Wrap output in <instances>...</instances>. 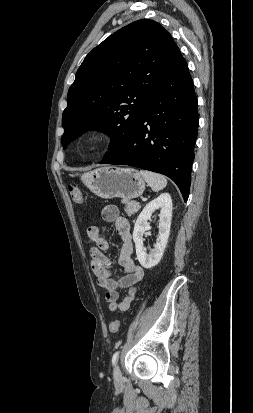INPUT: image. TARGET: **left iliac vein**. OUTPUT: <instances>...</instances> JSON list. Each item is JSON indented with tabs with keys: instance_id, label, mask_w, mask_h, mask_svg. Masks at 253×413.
<instances>
[{
	"instance_id": "4c4485c4",
	"label": "left iliac vein",
	"mask_w": 253,
	"mask_h": 413,
	"mask_svg": "<svg viewBox=\"0 0 253 413\" xmlns=\"http://www.w3.org/2000/svg\"><path fill=\"white\" fill-rule=\"evenodd\" d=\"M113 376L116 381H119L122 377L121 370L119 366L116 364L113 370Z\"/></svg>"
}]
</instances>
